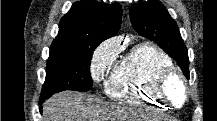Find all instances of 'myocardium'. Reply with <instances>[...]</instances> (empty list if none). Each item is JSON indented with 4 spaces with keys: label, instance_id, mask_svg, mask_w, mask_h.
Returning <instances> with one entry per match:
<instances>
[{
    "label": "myocardium",
    "instance_id": "1",
    "mask_svg": "<svg viewBox=\"0 0 217 121\" xmlns=\"http://www.w3.org/2000/svg\"><path fill=\"white\" fill-rule=\"evenodd\" d=\"M156 90L158 96L167 104L180 108L189 97L188 86L186 80L178 71L174 69L164 70L156 79ZM176 87L177 91L172 92Z\"/></svg>",
    "mask_w": 217,
    "mask_h": 121
}]
</instances>
